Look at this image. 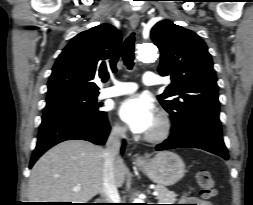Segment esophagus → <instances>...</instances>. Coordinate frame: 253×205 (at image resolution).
I'll return each instance as SVG.
<instances>
[{
	"instance_id": "34e87169",
	"label": "esophagus",
	"mask_w": 253,
	"mask_h": 205,
	"mask_svg": "<svg viewBox=\"0 0 253 205\" xmlns=\"http://www.w3.org/2000/svg\"><path fill=\"white\" fill-rule=\"evenodd\" d=\"M140 17L138 14H132L130 17V24L132 28H136L139 24ZM146 161V159L141 155H135L134 157V163L135 164H142Z\"/></svg>"
}]
</instances>
